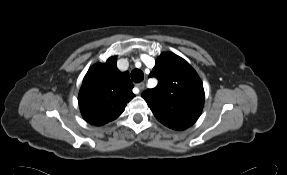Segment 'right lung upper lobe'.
Returning <instances> with one entry per match:
<instances>
[{
	"mask_svg": "<svg viewBox=\"0 0 287 175\" xmlns=\"http://www.w3.org/2000/svg\"><path fill=\"white\" fill-rule=\"evenodd\" d=\"M129 73L120 72L116 57L93 65L86 73L79 92V107L84 119L101 126L119 117L135 96Z\"/></svg>",
	"mask_w": 287,
	"mask_h": 175,
	"instance_id": "1",
	"label": "right lung upper lobe"
}]
</instances>
